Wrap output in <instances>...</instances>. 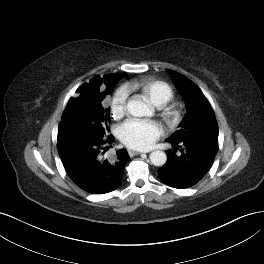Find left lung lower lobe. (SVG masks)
<instances>
[{"mask_svg":"<svg viewBox=\"0 0 264 264\" xmlns=\"http://www.w3.org/2000/svg\"><path fill=\"white\" fill-rule=\"evenodd\" d=\"M168 141V140H167ZM166 164L158 169L163 183L184 189L197 184L208 172L218 151V141L207 138H192L172 142Z\"/></svg>","mask_w":264,"mask_h":264,"instance_id":"0a47b994","label":"left lung lower lobe"}]
</instances>
